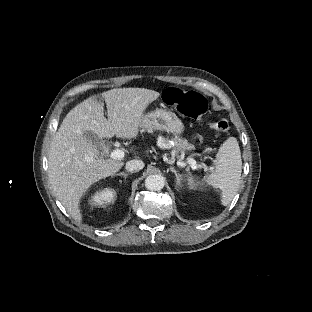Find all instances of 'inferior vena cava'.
Returning <instances> with one entry per match:
<instances>
[{"mask_svg":"<svg viewBox=\"0 0 312 312\" xmlns=\"http://www.w3.org/2000/svg\"><path fill=\"white\" fill-rule=\"evenodd\" d=\"M144 168L142 160H131L126 163V169L130 172H138Z\"/></svg>","mask_w":312,"mask_h":312,"instance_id":"inferior-vena-cava-1","label":"inferior vena cava"}]
</instances>
